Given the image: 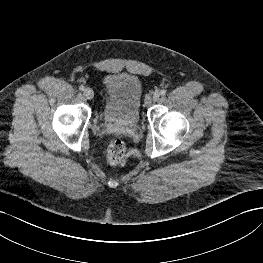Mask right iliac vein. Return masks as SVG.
Here are the masks:
<instances>
[{"instance_id": "63e3f726", "label": "right iliac vein", "mask_w": 263, "mask_h": 263, "mask_svg": "<svg viewBox=\"0 0 263 263\" xmlns=\"http://www.w3.org/2000/svg\"><path fill=\"white\" fill-rule=\"evenodd\" d=\"M84 96L87 98V99H92L93 97H94V92H93V90L91 89V88H86L85 90H84Z\"/></svg>"}]
</instances>
